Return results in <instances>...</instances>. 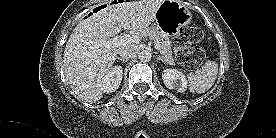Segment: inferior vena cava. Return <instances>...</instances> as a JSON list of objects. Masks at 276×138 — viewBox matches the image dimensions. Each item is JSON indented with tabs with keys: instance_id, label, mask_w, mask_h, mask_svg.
I'll list each match as a JSON object with an SVG mask.
<instances>
[{
	"instance_id": "1",
	"label": "inferior vena cava",
	"mask_w": 276,
	"mask_h": 138,
	"mask_svg": "<svg viewBox=\"0 0 276 138\" xmlns=\"http://www.w3.org/2000/svg\"><path fill=\"white\" fill-rule=\"evenodd\" d=\"M138 52V47L133 45L131 47L122 48L118 51V54L122 59L129 60L130 58H134Z\"/></svg>"
}]
</instances>
